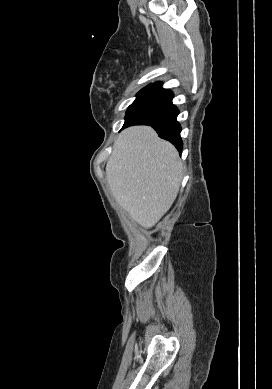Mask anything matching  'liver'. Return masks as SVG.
Returning <instances> with one entry per match:
<instances>
[{
    "label": "liver",
    "instance_id": "1",
    "mask_svg": "<svg viewBox=\"0 0 272 389\" xmlns=\"http://www.w3.org/2000/svg\"><path fill=\"white\" fill-rule=\"evenodd\" d=\"M183 178L175 147L148 126L125 129L106 165L108 186L118 204L144 228L170 209Z\"/></svg>",
    "mask_w": 272,
    "mask_h": 389
}]
</instances>
